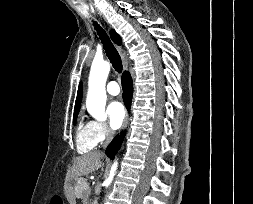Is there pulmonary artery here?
I'll return each instance as SVG.
<instances>
[{"instance_id":"pulmonary-artery-1","label":"pulmonary artery","mask_w":253,"mask_h":204,"mask_svg":"<svg viewBox=\"0 0 253 204\" xmlns=\"http://www.w3.org/2000/svg\"><path fill=\"white\" fill-rule=\"evenodd\" d=\"M109 95L116 96L120 93V87L116 81H110L106 86Z\"/></svg>"}]
</instances>
